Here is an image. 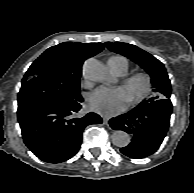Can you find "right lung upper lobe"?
<instances>
[{
  "label": "right lung upper lobe",
  "instance_id": "right-lung-upper-lobe-1",
  "mask_svg": "<svg viewBox=\"0 0 194 193\" xmlns=\"http://www.w3.org/2000/svg\"><path fill=\"white\" fill-rule=\"evenodd\" d=\"M104 48L103 43H71L64 42L47 49L30 66L25 74L26 80L33 74H82L84 60L98 54Z\"/></svg>",
  "mask_w": 194,
  "mask_h": 193
}]
</instances>
